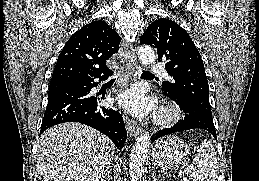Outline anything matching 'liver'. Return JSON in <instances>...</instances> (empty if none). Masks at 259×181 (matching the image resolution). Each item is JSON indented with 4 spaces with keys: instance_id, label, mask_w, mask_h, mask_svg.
Instances as JSON below:
<instances>
[{
    "instance_id": "obj_1",
    "label": "liver",
    "mask_w": 259,
    "mask_h": 181,
    "mask_svg": "<svg viewBox=\"0 0 259 181\" xmlns=\"http://www.w3.org/2000/svg\"><path fill=\"white\" fill-rule=\"evenodd\" d=\"M114 153L112 141L97 130L59 124L39 139L37 172L41 181H104Z\"/></svg>"
}]
</instances>
